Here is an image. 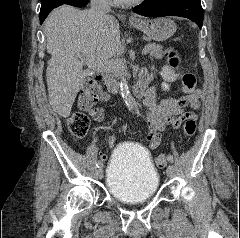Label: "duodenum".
Masks as SVG:
<instances>
[{"label": "duodenum", "instance_id": "obj_1", "mask_svg": "<svg viewBox=\"0 0 240 238\" xmlns=\"http://www.w3.org/2000/svg\"><path fill=\"white\" fill-rule=\"evenodd\" d=\"M103 78L109 92L114 94L119 92V86L115 81L114 77L110 73L108 72L104 73ZM148 84H149V75L146 72L141 73L137 83L133 87L134 96L136 98L144 97L147 92Z\"/></svg>", "mask_w": 240, "mask_h": 238}]
</instances>
